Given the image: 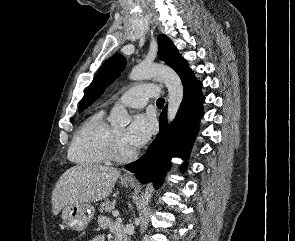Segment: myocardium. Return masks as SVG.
I'll return each instance as SVG.
<instances>
[{
  "label": "myocardium",
  "mask_w": 295,
  "mask_h": 241,
  "mask_svg": "<svg viewBox=\"0 0 295 241\" xmlns=\"http://www.w3.org/2000/svg\"><path fill=\"white\" fill-rule=\"evenodd\" d=\"M107 153H108L109 159L115 162H126L136 157L135 151L123 152L121 150L119 142L113 130L111 131V134L109 137Z\"/></svg>",
  "instance_id": "f54148a6"
}]
</instances>
